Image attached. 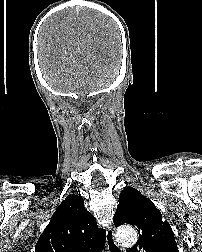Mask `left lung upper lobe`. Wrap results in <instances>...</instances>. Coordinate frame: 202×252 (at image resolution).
Listing matches in <instances>:
<instances>
[{"instance_id": "5c2ea615", "label": "left lung upper lobe", "mask_w": 202, "mask_h": 252, "mask_svg": "<svg viewBox=\"0 0 202 252\" xmlns=\"http://www.w3.org/2000/svg\"><path fill=\"white\" fill-rule=\"evenodd\" d=\"M113 220L117 227L130 224L139 232V240L128 252H178L170 224L150 199L135 188L127 187L120 193Z\"/></svg>"}]
</instances>
